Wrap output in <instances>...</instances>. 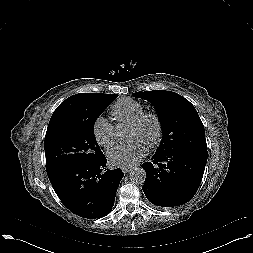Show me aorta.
<instances>
[{"instance_id":"762f6f07","label":"aorta","mask_w":253,"mask_h":253,"mask_svg":"<svg viewBox=\"0 0 253 253\" xmlns=\"http://www.w3.org/2000/svg\"><path fill=\"white\" fill-rule=\"evenodd\" d=\"M125 130L119 128L118 129V134L119 136H124L125 135ZM130 180L133 183H144L146 180V172L143 168H135L130 172Z\"/></svg>"}]
</instances>
